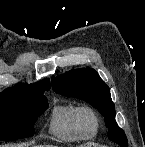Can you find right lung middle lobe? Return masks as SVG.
<instances>
[{"label": "right lung middle lobe", "mask_w": 145, "mask_h": 147, "mask_svg": "<svg viewBox=\"0 0 145 147\" xmlns=\"http://www.w3.org/2000/svg\"><path fill=\"white\" fill-rule=\"evenodd\" d=\"M44 90L31 89L0 95V141L34 135V123L48 107Z\"/></svg>", "instance_id": "dd1d6c3e"}]
</instances>
